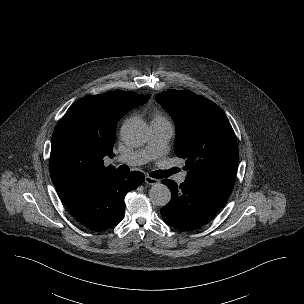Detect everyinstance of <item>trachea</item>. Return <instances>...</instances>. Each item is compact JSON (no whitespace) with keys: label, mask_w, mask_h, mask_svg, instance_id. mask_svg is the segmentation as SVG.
<instances>
[{"label":"trachea","mask_w":304,"mask_h":304,"mask_svg":"<svg viewBox=\"0 0 304 304\" xmlns=\"http://www.w3.org/2000/svg\"><path fill=\"white\" fill-rule=\"evenodd\" d=\"M176 172H178L177 168H173V169H170V170H159V171L152 172L150 174V176H152L154 178H167V177H169L170 175H172Z\"/></svg>","instance_id":"3493384b"}]
</instances>
